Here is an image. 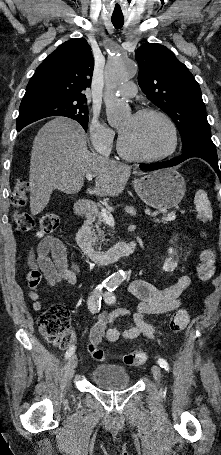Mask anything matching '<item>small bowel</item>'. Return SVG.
<instances>
[{
  "label": "small bowel",
  "mask_w": 221,
  "mask_h": 455,
  "mask_svg": "<svg viewBox=\"0 0 221 455\" xmlns=\"http://www.w3.org/2000/svg\"><path fill=\"white\" fill-rule=\"evenodd\" d=\"M72 257H75L74 252ZM29 261L31 271L27 275L28 295L34 301L35 309L42 307L37 290L42 278L50 287L62 282L74 286L78 282L77 263L73 260L69 266L66 247L54 236L44 238L30 253ZM189 284L188 275L181 276L176 283L163 288L140 279L132 281L128 291L138 300L135 311L130 312L125 308H117L112 312L102 310L91 328L90 341L98 344L103 338L112 343L120 337L125 339L154 337L157 327L150 324L147 317L178 310L181 296ZM119 318L128 321V327L123 332L115 327V322Z\"/></svg>",
  "instance_id": "c3829d8e"
}]
</instances>
